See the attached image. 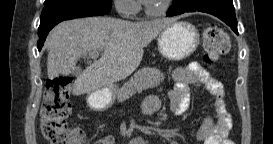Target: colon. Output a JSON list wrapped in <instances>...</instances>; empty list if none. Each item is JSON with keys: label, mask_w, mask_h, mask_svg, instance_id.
Instances as JSON below:
<instances>
[{"label": "colon", "mask_w": 273, "mask_h": 144, "mask_svg": "<svg viewBox=\"0 0 273 144\" xmlns=\"http://www.w3.org/2000/svg\"><path fill=\"white\" fill-rule=\"evenodd\" d=\"M205 62L213 63L229 49V39L225 31L215 23H208L203 33ZM71 79L59 77L50 80L41 108V132L43 137L52 144H78L84 139L83 131L71 128L67 118L71 114L68 100Z\"/></svg>", "instance_id": "5ec220e1"}]
</instances>
